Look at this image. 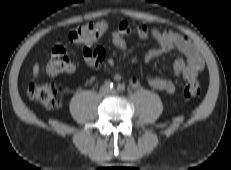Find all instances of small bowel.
<instances>
[{"instance_id": "small-bowel-1", "label": "small bowel", "mask_w": 231, "mask_h": 170, "mask_svg": "<svg viewBox=\"0 0 231 170\" xmlns=\"http://www.w3.org/2000/svg\"><path fill=\"white\" fill-rule=\"evenodd\" d=\"M129 35H136L140 39H152L158 43L159 48L149 50L145 55L147 60L173 50L179 51L184 56V59L178 58L173 63V74L175 77L188 81L193 80L204 67V61L198 49L187 37L177 32L148 28L144 25L132 24L124 19L120 22L118 29L112 33V43L121 53H125L127 50L125 37ZM83 56L89 66L98 67L105 58V51L101 48L91 49L86 45L83 48ZM120 78V74L114 75L115 80H120ZM147 83L150 87L159 91L169 94L175 92L173 81L161 76H150ZM130 84L132 87H138L140 83L137 78L133 77L130 79Z\"/></svg>"}]
</instances>
